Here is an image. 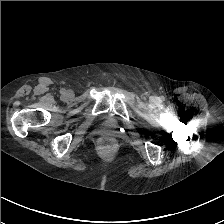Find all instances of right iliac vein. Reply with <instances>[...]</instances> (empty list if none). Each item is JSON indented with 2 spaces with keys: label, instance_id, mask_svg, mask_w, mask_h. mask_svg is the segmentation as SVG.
I'll list each match as a JSON object with an SVG mask.
<instances>
[{
  "label": "right iliac vein",
  "instance_id": "obj_1",
  "mask_svg": "<svg viewBox=\"0 0 224 224\" xmlns=\"http://www.w3.org/2000/svg\"><path fill=\"white\" fill-rule=\"evenodd\" d=\"M66 96H67L68 98H71V97L73 96L72 91H68V92L66 93Z\"/></svg>",
  "mask_w": 224,
  "mask_h": 224
}]
</instances>
